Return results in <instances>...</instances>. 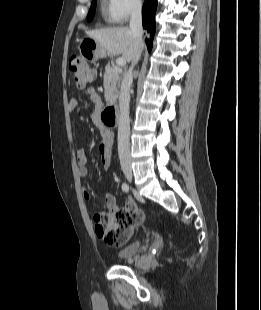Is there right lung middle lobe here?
Instances as JSON below:
<instances>
[{
  "label": "right lung middle lobe",
  "mask_w": 261,
  "mask_h": 310,
  "mask_svg": "<svg viewBox=\"0 0 261 310\" xmlns=\"http://www.w3.org/2000/svg\"><path fill=\"white\" fill-rule=\"evenodd\" d=\"M95 9H96V0H92V4H91L90 10L87 15L88 21H91L93 19L94 14H95Z\"/></svg>",
  "instance_id": "1"
}]
</instances>
